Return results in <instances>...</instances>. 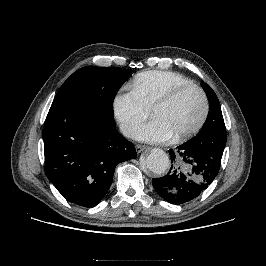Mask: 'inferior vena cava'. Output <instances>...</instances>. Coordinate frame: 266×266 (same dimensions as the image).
<instances>
[{
	"instance_id": "obj_1",
	"label": "inferior vena cava",
	"mask_w": 266,
	"mask_h": 266,
	"mask_svg": "<svg viewBox=\"0 0 266 266\" xmlns=\"http://www.w3.org/2000/svg\"><path fill=\"white\" fill-rule=\"evenodd\" d=\"M120 130L126 137H131L133 134V129L129 127L128 125H121Z\"/></svg>"
}]
</instances>
